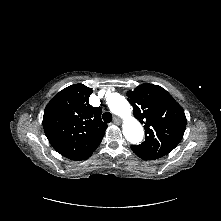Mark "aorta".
<instances>
[{"label":"aorta","mask_w":221,"mask_h":221,"mask_svg":"<svg viewBox=\"0 0 221 221\" xmlns=\"http://www.w3.org/2000/svg\"><path fill=\"white\" fill-rule=\"evenodd\" d=\"M112 113L123 119V135L132 144H139L144 136L140 122L132 116V107L119 93H110L106 99Z\"/></svg>","instance_id":"1"}]
</instances>
